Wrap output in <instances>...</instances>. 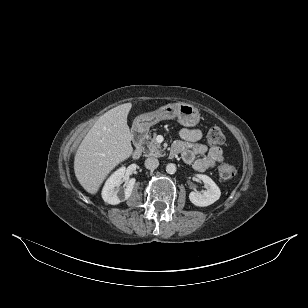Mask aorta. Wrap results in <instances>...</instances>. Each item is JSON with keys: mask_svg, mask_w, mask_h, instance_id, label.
Returning <instances> with one entry per match:
<instances>
[{"mask_svg": "<svg viewBox=\"0 0 308 308\" xmlns=\"http://www.w3.org/2000/svg\"><path fill=\"white\" fill-rule=\"evenodd\" d=\"M176 169H177L176 165L173 163H169L166 166V172L169 174H174L176 172Z\"/></svg>", "mask_w": 308, "mask_h": 308, "instance_id": "1", "label": "aorta"}]
</instances>
